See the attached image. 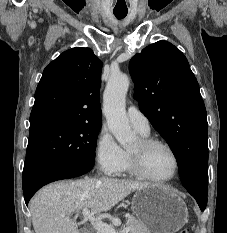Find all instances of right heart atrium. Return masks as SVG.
<instances>
[{
    "label": "right heart atrium",
    "mask_w": 227,
    "mask_h": 233,
    "mask_svg": "<svg viewBox=\"0 0 227 233\" xmlns=\"http://www.w3.org/2000/svg\"><path fill=\"white\" fill-rule=\"evenodd\" d=\"M94 154L99 167L108 175L119 174L125 161V152L107 127L97 135Z\"/></svg>",
    "instance_id": "1"
}]
</instances>
